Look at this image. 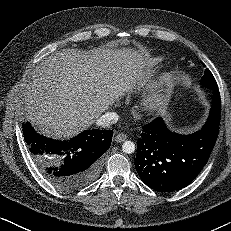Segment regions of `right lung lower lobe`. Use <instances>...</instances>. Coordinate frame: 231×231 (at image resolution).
I'll list each match as a JSON object with an SVG mask.
<instances>
[{"instance_id": "98d812e1", "label": "right lung lower lobe", "mask_w": 231, "mask_h": 231, "mask_svg": "<svg viewBox=\"0 0 231 231\" xmlns=\"http://www.w3.org/2000/svg\"><path fill=\"white\" fill-rule=\"evenodd\" d=\"M22 128L40 173L53 186L66 192L81 189L98 177L103 154L113 136L112 130L92 129L59 141L38 134L29 122Z\"/></svg>"}]
</instances>
